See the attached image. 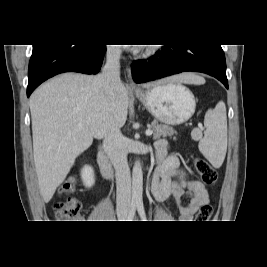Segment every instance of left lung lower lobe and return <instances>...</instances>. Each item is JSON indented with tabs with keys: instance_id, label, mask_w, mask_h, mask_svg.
I'll return each instance as SVG.
<instances>
[{
	"instance_id": "1",
	"label": "left lung lower lobe",
	"mask_w": 267,
	"mask_h": 267,
	"mask_svg": "<svg viewBox=\"0 0 267 267\" xmlns=\"http://www.w3.org/2000/svg\"><path fill=\"white\" fill-rule=\"evenodd\" d=\"M151 59L154 61L132 64V75L136 83L193 71L209 74L228 88L226 61L221 45H165Z\"/></svg>"
}]
</instances>
